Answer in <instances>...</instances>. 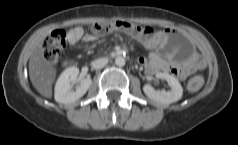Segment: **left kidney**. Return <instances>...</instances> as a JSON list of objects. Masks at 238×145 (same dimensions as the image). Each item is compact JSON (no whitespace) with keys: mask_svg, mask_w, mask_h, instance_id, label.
I'll use <instances>...</instances> for the list:
<instances>
[{"mask_svg":"<svg viewBox=\"0 0 238 145\" xmlns=\"http://www.w3.org/2000/svg\"><path fill=\"white\" fill-rule=\"evenodd\" d=\"M156 77L166 80L171 87L170 91H156L151 85L146 84L143 87V91L147 97L159 102L161 104H171L181 99L183 95V88L179 81L168 73H157Z\"/></svg>","mask_w":238,"mask_h":145,"instance_id":"left-kidney-1","label":"left kidney"}]
</instances>
